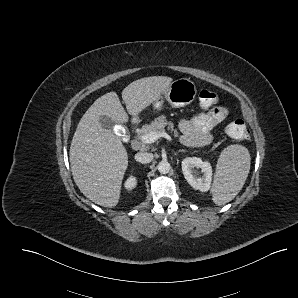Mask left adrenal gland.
<instances>
[{
    "mask_svg": "<svg viewBox=\"0 0 298 298\" xmlns=\"http://www.w3.org/2000/svg\"><path fill=\"white\" fill-rule=\"evenodd\" d=\"M179 152H186V150L185 149H180Z\"/></svg>",
    "mask_w": 298,
    "mask_h": 298,
    "instance_id": "a2214340",
    "label": "left adrenal gland"
}]
</instances>
